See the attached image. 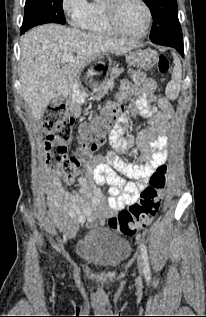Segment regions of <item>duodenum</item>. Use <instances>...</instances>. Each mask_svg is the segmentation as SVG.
<instances>
[{
  "label": "duodenum",
  "instance_id": "duodenum-1",
  "mask_svg": "<svg viewBox=\"0 0 206 317\" xmlns=\"http://www.w3.org/2000/svg\"><path fill=\"white\" fill-rule=\"evenodd\" d=\"M68 105L69 113L71 115H80L82 109L81 100H69Z\"/></svg>",
  "mask_w": 206,
  "mask_h": 317
}]
</instances>
